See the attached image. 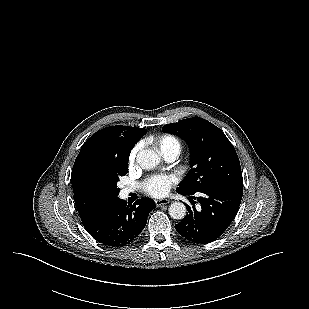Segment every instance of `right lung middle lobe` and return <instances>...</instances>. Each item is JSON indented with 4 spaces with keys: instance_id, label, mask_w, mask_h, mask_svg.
Masks as SVG:
<instances>
[{
    "instance_id": "1",
    "label": "right lung middle lobe",
    "mask_w": 309,
    "mask_h": 309,
    "mask_svg": "<svg viewBox=\"0 0 309 309\" xmlns=\"http://www.w3.org/2000/svg\"><path fill=\"white\" fill-rule=\"evenodd\" d=\"M128 158H111L102 167V179L106 194L110 199L118 197L120 189L117 182L121 176L127 174Z\"/></svg>"
}]
</instances>
